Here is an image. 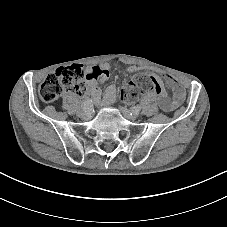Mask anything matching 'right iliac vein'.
Instances as JSON below:
<instances>
[{
  "instance_id": "1",
  "label": "right iliac vein",
  "mask_w": 227,
  "mask_h": 227,
  "mask_svg": "<svg viewBox=\"0 0 227 227\" xmlns=\"http://www.w3.org/2000/svg\"><path fill=\"white\" fill-rule=\"evenodd\" d=\"M77 115H78L79 117H83V116H85L86 114H85L83 111H79V112L77 113Z\"/></svg>"
}]
</instances>
